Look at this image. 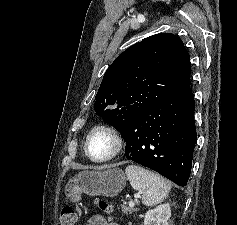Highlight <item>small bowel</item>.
Instances as JSON below:
<instances>
[{
  "mask_svg": "<svg viewBox=\"0 0 237 225\" xmlns=\"http://www.w3.org/2000/svg\"><path fill=\"white\" fill-rule=\"evenodd\" d=\"M86 225H119L118 223L108 221L101 215H94L89 218Z\"/></svg>",
  "mask_w": 237,
  "mask_h": 225,
  "instance_id": "obj_1",
  "label": "small bowel"
}]
</instances>
